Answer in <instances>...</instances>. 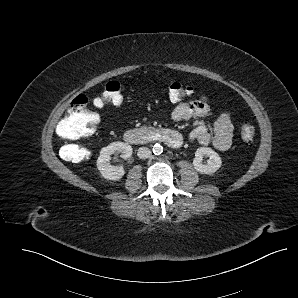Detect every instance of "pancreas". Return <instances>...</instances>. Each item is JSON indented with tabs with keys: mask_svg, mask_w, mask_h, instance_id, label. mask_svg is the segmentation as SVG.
<instances>
[{
	"mask_svg": "<svg viewBox=\"0 0 298 298\" xmlns=\"http://www.w3.org/2000/svg\"><path fill=\"white\" fill-rule=\"evenodd\" d=\"M148 129H154L153 127H146V126H142L141 128L137 129L139 132L143 131V130H148Z\"/></svg>",
	"mask_w": 298,
	"mask_h": 298,
	"instance_id": "pancreas-1",
	"label": "pancreas"
}]
</instances>
